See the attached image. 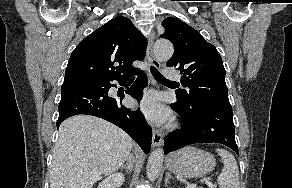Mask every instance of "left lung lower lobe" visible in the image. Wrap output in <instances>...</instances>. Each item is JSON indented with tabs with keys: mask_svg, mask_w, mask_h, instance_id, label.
<instances>
[{
	"mask_svg": "<svg viewBox=\"0 0 292 188\" xmlns=\"http://www.w3.org/2000/svg\"><path fill=\"white\" fill-rule=\"evenodd\" d=\"M171 107L181 115L184 124L180 130L171 133L165 139V154L190 144L212 142L226 145L238 154L230 104L215 103L187 107L177 101L171 104Z\"/></svg>",
	"mask_w": 292,
	"mask_h": 188,
	"instance_id": "0a47b994",
	"label": "left lung lower lobe"
}]
</instances>
